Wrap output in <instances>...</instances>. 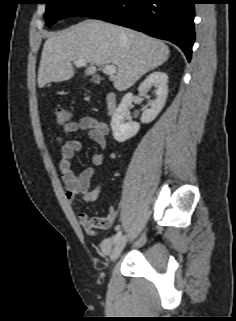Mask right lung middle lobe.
I'll list each match as a JSON object with an SVG mask.
<instances>
[{"label": "right lung middle lobe", "instance_id": "right-lung-middle-lobe-1", "mask_svg": "<svg viewBox=\"0 0 236 321\" xmlns=\"http://www.w3.org/2000/svg\"><path fill=\"white\" fill-rule=\"evenodd\" d=\"M111 0H45L47 4L45 21L53 25L69 16H89L107 5Z\"/></svg>", "mask_w": 236, "mask_h": 321}]
</instances>
